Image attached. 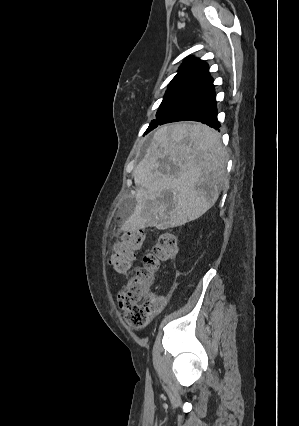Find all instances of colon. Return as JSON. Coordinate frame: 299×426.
Segmentation results:
<instances>
[{"label": "colon", "mask_w": 299, "mask_h": 426, "mask_svg": "<svg viewBox=\"0 0 299 426\" xmlns=\"http://www.w3.org/2000/svg\"><path fill=\"white\" fill-rule=\"evenodd\" d=\"M144 237L142 230H130L119 237L108 261L116 274L129 271L136 253L143 245ZM177 250V241L172 234L161 235L151 253L144 257L142 266L119 292L118 302L130 326H145L148 319L161 309L164 299L155 297L151 292L155 273L162 262L175 258Z\"/></svg>", "instance_id": "colon-1"}]
</instances>
